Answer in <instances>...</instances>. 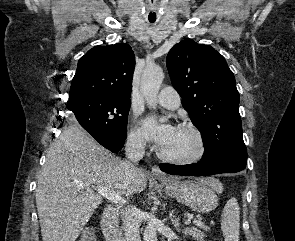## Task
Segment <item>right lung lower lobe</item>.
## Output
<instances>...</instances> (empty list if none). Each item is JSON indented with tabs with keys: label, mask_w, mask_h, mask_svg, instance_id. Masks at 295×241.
<instances>
[{
	"label": "right lung lower lobe",
	"mask_w": 295,
	"mask_h": 241,
	"mask_svg": "<svg viewBox=\"0 0 295 241\" xmlns=\"http://www.w3.org/2000/svg\"><path fill=\"white\" fill-rule=\"evenodd\" d=\"M97 142H99L102 146L109 149L113 153H117L120 151L124 145L125 139H115L110 136H107L103 133L95 132V131H88Z\"/></svg>",
	"instance_id": "1"
}]
</instances>
